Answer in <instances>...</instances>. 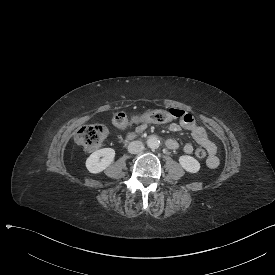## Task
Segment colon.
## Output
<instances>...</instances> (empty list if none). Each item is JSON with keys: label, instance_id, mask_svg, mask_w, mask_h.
I'll list each match as a JSON object with an SVG mask.
<instances>
[{"label": "colon", "instance_id": "colon-1", "mask_svg": "<svg viewBox=\"0 0 275 275\" xmlns=\"http://www.w3.org/2000/svg\"><path fill=\"white\" fill-rule=\"evenodd\" d=\"M170 115L163 111H150L147 113H137L135 115L121 116L117 115L111 122L113 130H123L125 125L141 122H152L156 124H167ZM108 137V130L100 124L83 126L77 133V143L85 150L94 151L101 148L103 142ZM196 157L203 159L206 156V151L203 148L195 150Z\"/></svg>", "mask_w": 275, "mask_h": 275}]
</instances>
